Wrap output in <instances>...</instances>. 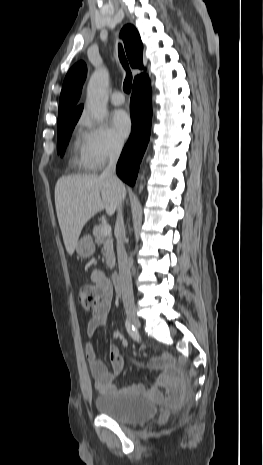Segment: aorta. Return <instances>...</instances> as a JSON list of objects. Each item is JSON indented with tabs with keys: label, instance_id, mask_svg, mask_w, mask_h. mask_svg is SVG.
<instances>
[{
	"label": "aorta",
	"instance_id": "obj_1",
	"mask_svg": "<svg viewBox=\"0 0 263 465\" xmlns=\"http://www.w3.org/2000/svg\"><path fill=\"white\" fill-rule=\"evenodd\" d=\"M107 87V71L103 68L96 70L88 82L86 104L98 121H102L107 114Z\"/></svg>",
	"mask_w": 263,
	"mask_h": 465
}]
</instances>
